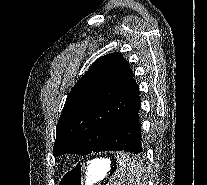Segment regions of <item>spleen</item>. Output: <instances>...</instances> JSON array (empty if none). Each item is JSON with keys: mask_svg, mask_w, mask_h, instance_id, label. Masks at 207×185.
I'll return each instance as SVG.
<instances>
[{"mask_svg": "<svg viewBox=\"0 0 207 185\" xmlns=\"http://www.w3.org/2000/svg\"><path fill=\"white\" fill-rule=\"evenodd\" d=\"M123 156H128V151H123ZM116 163L118 169L108 179L110 185H141L142 179H146L144 167L136 159L117 158Z\"/></svg>", "mask_w": 207, "mask_h": 185, "instance_id": "3e777b00", "label": "spleen"}]
</instances>
